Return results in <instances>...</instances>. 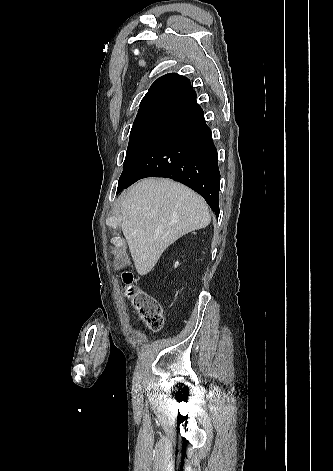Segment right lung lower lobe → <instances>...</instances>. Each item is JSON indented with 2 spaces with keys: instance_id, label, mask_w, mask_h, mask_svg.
<instances>
[{
  "instance_id": "98d812e1",
  "label": "right lung lower lobe",
  "mask_w": 333,
  "mask_h": 471,
  "mask_svg": "<svg viewBox=\"0 0 333 471\" xmlns=\"http://www.w3.org/2000/svg\"><path fill=\"white\" fill-rule=\"evenodd\" d=\"M146 177H167L187 185L219 215L217 149L199 105L160 133L138 155L121 174L117 194Z\"/></svg>"
}]
</instances>
